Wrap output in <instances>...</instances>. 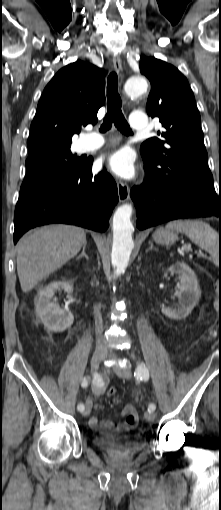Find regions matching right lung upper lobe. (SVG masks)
Masks as SVG:
<instances>
[{
    "label": "right lung upper lobe",
    "instance_id": "cb5924a9",
    "mask_svg": "<svg viewBox=\"0 0 221 510\" xmlns=\"http://www.w3.org/2000/svg\"><path fill=\"white\" fill-rule=\"evenodd\" d=\"M105 102V71L76 61L61 70L45 87L27 141L28 150L70 147L82 125L97 122Z\"/></svg>",
    "mask_w": 221,
    "mask_h": 510
}]
</instances>
